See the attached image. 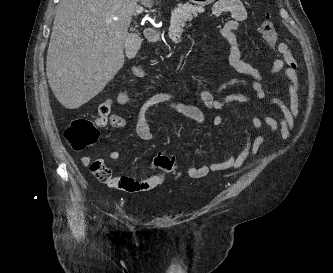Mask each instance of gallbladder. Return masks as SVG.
Instances as JSON below:
<instances>
[{
  "instance_id": "1",
  "label": "gallbladder",
  "mask_w": 333,
  "mask_h": 273,
  "mask_svg": "<svg viewBox=\"0 0 333 273\" xmlns=\"http://www.w3.org/2000/svg\"><path fill=\"white\" fill-rule=\"evenodd\" d=\"M140 44H141V39L138 35L136 34L129 35V37L125 42V53L129 59L135 57L140 47Z\"/></svg>"
}]
</instances>
